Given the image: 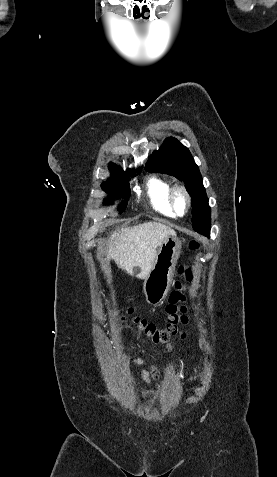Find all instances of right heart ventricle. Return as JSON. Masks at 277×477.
I'll use <instances>...</instances> for the list:
<instances>
[{"label": "right heart ventricle", "instance_id": "1", "mask_svg": "<svg viewBox=\"0 0 277 477\" xmlns=\"http://www.w3.org/2000/svg\"><path fill=\"white\" fill-rule=\"evenodd\" d=\"M170 184L158 177L152 176L146 183L149 203L154 210L167 217H176L169 203Z\"/></svg>", "mask_w": 277, "mask_h": 477}]
</instances>
